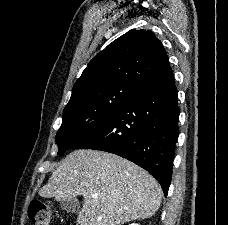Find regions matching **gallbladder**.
<instances>
[{
    "instance_id": "1",
    "label": "gallbladder",
    "mask_w": 228,
    "mask_h": 225,
    "mask_svg": "<svg viewBox=\"0 0 228 225\" xmlns=\"http://www.w3.org/2000/svg\"><path fill=\"white\" fill-rule=\"evenodd\" d=\"M60 207L62 211H67V213H79L81 205L77 197H72V199H65L61 201Z\"/></svg>"
}]
</instances>
